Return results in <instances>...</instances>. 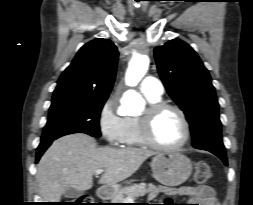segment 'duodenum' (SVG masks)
Returning <instances> with one entry per match:
<instances>
[{
  "label": "duodenum",
  "mask_w": 253,
  "mask_h": 205,
  "mask_svg": "<svg viewBox=\"0 0 253 205\" xmlns=\"http://www.w3.org/2000/svg\"><path fill=\"white\" fill-rule=\"evenodd\" d=\"M110 195V190L106 187H100L98 190H97V196L100 198V199H106L108 198Z\"/></svg>",
  "instance_id": "1"
}]
</instances>
